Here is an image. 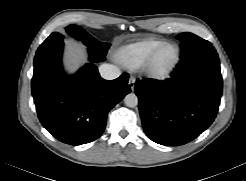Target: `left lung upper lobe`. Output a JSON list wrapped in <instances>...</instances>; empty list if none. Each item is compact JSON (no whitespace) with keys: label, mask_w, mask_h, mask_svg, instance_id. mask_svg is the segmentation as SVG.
Wrapping results in <instances>:
<instances>
[{"label":"left lung upper lobe","mask_w":246,"mask_h":181,"mask_svg":"<svg viewBox=\"0 0 246 181\" xmlns=\"http://www.w3.org/2000/svg\"><path fill=\"white\" fill-rule=\"evenodd\" d=\"M177 38L182 42L181 56L212 46L207 40L188 32L177 35Z\"/></svg>","instance_id":"obj_1"}]
</instances>
